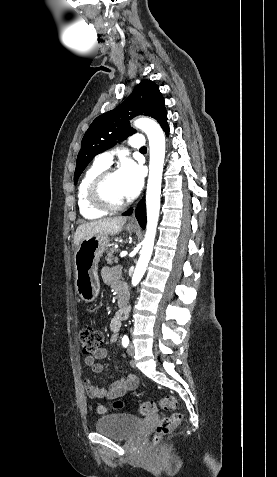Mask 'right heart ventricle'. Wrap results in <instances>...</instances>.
<instances>
[{"instance_id": "e07e8e85", "label": "right heart ventricle", "mask_w": 277, "mask_h": 477, "mask_svg": "<svg viewBox=\"0 0 277 477\" xmlns=\"http://www.w3.org/2000/svg\"><path fill=\"white\" fill-rule=\"evenodd\" d=\"M106 169V166L95 162L83 175L77 191L78 207L80 214L89 220L98 219L107 214V212L94 208L87 200V188L93 178Z\"/></svg>"}]
</instances>
